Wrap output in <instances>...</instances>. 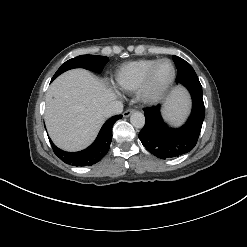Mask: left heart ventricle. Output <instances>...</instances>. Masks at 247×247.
Instances as JSON below:
<instances>
[{
  "label": "left heart ventricle",
  "mask_w": 247,
  "mask_h": 247,
  "mask_svg": "<svg viewBox=\"0 0 247 247\" xmlns=\"http://www.w3.org/2000/svg\"><path fill=\"white\" fill-rule=\"evenodd\" d=\"M172 68L169 62L162 61L154 69L149 83V88L152 91H157L164 87L170 80Z\"/></svg>",
  "instance_id": "b2bd125f"
}]
</instances>
